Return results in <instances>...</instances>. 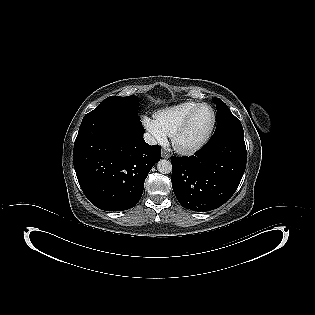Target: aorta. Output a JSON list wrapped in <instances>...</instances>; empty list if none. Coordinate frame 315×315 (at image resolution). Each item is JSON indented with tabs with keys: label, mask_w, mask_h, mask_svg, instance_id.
Masks as SVG:
<instances>
[{
	"label": "aorta",
	"mask_w": 315,
	"mask_h": 315,
	"mask_svg": "<svg viewBox=\"0 0 315 315\" xmlns=\"http://www.w3.org/2000/svg\"><path fill=\"white\" fill-rule=\"evenodd\" d=\"M157 169L162 174H169L172 171V165L169 160L162 159L157 163Z\"/></svg>",
	"instance_id": "1"
}]
</instances>
